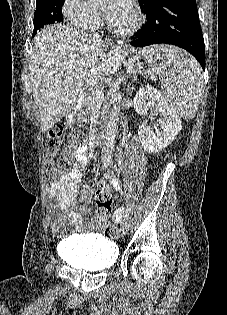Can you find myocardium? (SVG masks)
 <instances>
[{
  "mask_svg": "<svg viewBox=\"0 0 227 315\" xmlns=\"http://www.w3.org/2000/svg\"><path fill=\"white\" fill-rule=\"evenodd\" d=\"M132 13L134 16V22L133 24L127 28V29H120L117 28L116 26H114L110 20L105 17V23L108 27V29L116 34L122 35V36H129L132 35L133 33H135L141 26L142 24V16L140 14V12L138 11V9L136 7L132 8Z\"/></svg>",
  "mask_w": 227,
  "mask_h": 315,
  "instance_id": "f54148a6",
  "label": "myocardium"
}]
</instances>
